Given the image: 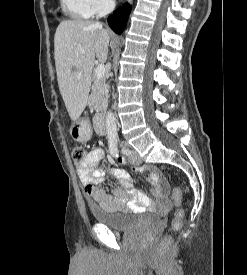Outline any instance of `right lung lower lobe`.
<instances>
[{
	"mask_svg": "<svg viewBox=\"0 0 247 275\" xmlns=\"http://www.w3.org/2000/svg\"><path fill=\"white\" fill-rule=\"evenodd\" d=\"M130 13V5L125 3L114 11V14L108 17V24L111 29L121 34L126 26V22Z\"/></svg>",
	"mask_w": 247,
	"mask_h": 275,
	"instance_id": "right-lung-lower-lobe-1",
	"label": "right lung lower lobe"
}]
</instances>
